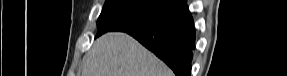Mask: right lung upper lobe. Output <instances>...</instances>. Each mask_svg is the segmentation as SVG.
Masks as SVG:
<instances>
[{
    "label": "right lung upper lobe",
    "instance_id": "right-lung-upper-lobe-1",
    "mask_svg": "<svg viewBox=\"0 0 287 76\" xmlns=\"http://www.w3.org/2000/svg\"><path fill=\"white\" fill-rule=\"evenodd\" d=\"M174 1L176 2V5H177L178 3H180L183 0H174Z\"/></svg>",
    "mask_w": 287,
    "mask_h": 76
}]
</instances>
